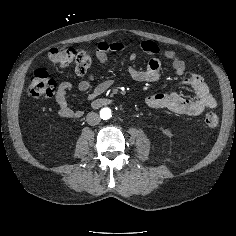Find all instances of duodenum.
Wrapping results in <instances>:
<instances>
[{
  "label": "duodenum",
  "instance_id": "1",
  "mask_svg": "<svg viewBox=\"0 0 236 236\" xmlns=\"http://www.w3.org/2000/svg\"><path fill=\"white\" fill-rule=\"evenodd\" d=\"M111 101L106 98H99L93 101L92 105L94 107H100L109 104Z\"/></svg>",
  "mask_w": 236,
  "mask_h": 236
}]
</instances>
